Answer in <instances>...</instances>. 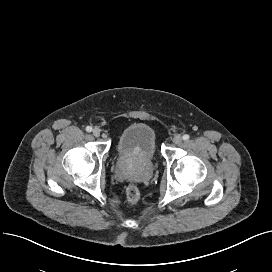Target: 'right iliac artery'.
Masks as SVG:
<instances>
[{
    "label": "right iliac artery",
    "instance_id": "right-iliac-artery-1",
    "mask_svg": "<svg viewBox=\"0 0 272 272\" xmlns=\"http://www.w3.org/2000/svg\"><path fill=\"white\" fill-rule=\"evenodd\" d=\"M86 131H87V132H91V131H92V127H91V126H87V127H86Z\"/></svg>",
    "mask_w": 272,
    "mask_h": 272
}]
</instances>
